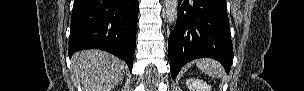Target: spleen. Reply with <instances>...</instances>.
I'll return each mask as SVG.
<instances>
[{
  "label": "spleen",
  "mask_w": 304,
  "mask_h": 91,
  "mask_svg": "<svg viewBox=\"0 0 304 91\" xmlns=\"http://www.w3.org/2000/svg\"><path fill=\"white\" fill-rule=\"evenodd\" d=\"M198 68L205 74L212 77H221L222 70L220 64L214 60L201 59L197 62Z\"/></svg>",
  "instance_id": "3e777b00"
}]
</instances>
